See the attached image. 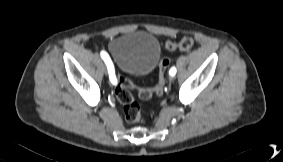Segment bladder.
Instances as JSON below:
<instances>
[{
    "label": "bladder",
    "mask_w": 283,
    "mask_h": 162,
    "mask_svg": "<svg viewBox=\"0 0 283 162\" xmlns=\"http://www.w3.org/2000/svg\"><path fill=\"white\" fill-rule=\"evenodd\" d=\"M109 51L119 69L132 75L145 76L157 66L161 46L154 35L135 31L111 40Z\"/></svg>",
    "instance_id": "1"
}]
</instances>
